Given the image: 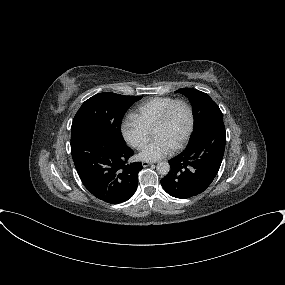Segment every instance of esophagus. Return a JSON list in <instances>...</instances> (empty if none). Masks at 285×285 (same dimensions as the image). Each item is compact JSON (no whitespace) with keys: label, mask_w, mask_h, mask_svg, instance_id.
<instances>
[{"label":"esophagus","mask_w":285,"mask_h":285,"mask_svg":"<svg viewBox=\"0 0 285 285\" xmlns=\"http://www.w3.org/2000/svg\"><path fill=\"white\" fill-rule=\"evenodd\" d=\"M152 164V162H148V161H143L142 162V166L143 167H148V166H150Z\"/></svg>","instance_id":"esophagus-1"}]
</instances>
